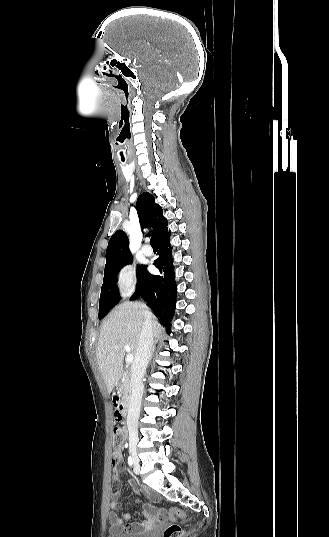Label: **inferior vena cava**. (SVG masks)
Listing matches in <instances>:
<instances>
[{
    "mask_svg": "<svg viewBox=\"0 0 329 537\" xmlns=\"http://www.w3.org/2000/svg\"><path fill=\"white\" fill-rule=\"evenodd\" d=\"M153 343V331L151 318L145 315L142 330L138 340L134 361L131 367V399L127 415V428L129 432L137 435L138 419L140 415L141 401L143 396V377L146 371Z\"/></svg>",
    "mask_w": 329,
    "mask_h": 537,
    "instance_id": "1",
    "label": "inferior vena cava"
}]
</instances>
